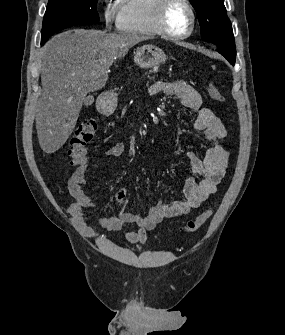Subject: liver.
<instances>
[{"mask_svg": "<svg viewBox=\"0 0 285 335\" xmlns=\"http://www.w3.org/2000/svg\"><path fill=\"white\" fill-rule=\"evenodd\" d=\"M150 40L138 34L67 30L53 36L42 52V94L35 120L41 150L54 154L71 136L89 92L106 86L115 58Z\"/></svg>", "mask_w": 285, "mask_h": 335, "instance_id": "1", "label": "liver"}]
</instances>
